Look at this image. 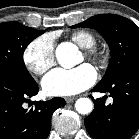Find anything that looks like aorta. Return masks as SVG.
<instances>
[{
    "label": "aorta",
    "mask_w": 139,
    "mask_h": 139,
    "mask_svg": "<svg viewBox=\"0 0 139 139\" xmlns=\"http://www.w3.org/2000/svg\"><path fill=\"white\" fill-rule=\"evenodd\" d=\"M77 53L78 49L75 45L64 42L58 45L56 58L62 67L71 68L75 65ZM75 109L78 113L86 115L92 112L93 103L89 98H79L75 103Z\"/></svg>",
    "instance_id": "762f6f07"
}]
</instances>
